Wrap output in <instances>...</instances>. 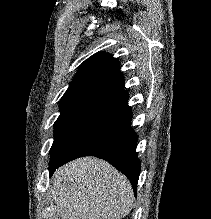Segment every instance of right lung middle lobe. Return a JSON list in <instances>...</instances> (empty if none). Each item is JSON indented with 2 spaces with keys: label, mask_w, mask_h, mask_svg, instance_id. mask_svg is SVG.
<instances>
[{
  "label": "right lung middle lobe",
  "mask_w": 211,
  "mask_h": 219,
  "mask_svg": "<svg viewBox=\"0 0 211 219\" xmlns=\"http://www.w3.org/2000/svg\"><path fill=\"white\" fill-rule=\"evenodd\" d=\"M119 107L92 99L60 104V116L55 122V138L50 150L49 171L66 153L98 124ZM51 176V175H50Z\"/></svg>",
  "instance_id": "right-lung-middle-lobe-1"
}]
</instances>
